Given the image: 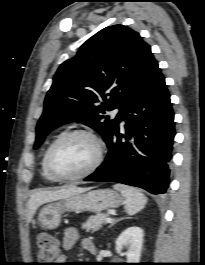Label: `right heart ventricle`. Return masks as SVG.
I'll return each instance as SVG.
<instances>
[{
  "instance_id": "e07e8e85",
  "label": "right heart ventricle",
  "mask_w": 205,
  "mask_h": 265,
  "mask_svg": "<svg viewBox=\"0 0 205 265\" xmlns=\"http://www.w3.org/2000/svg\"><path fill=\"white\" fill-rule=\"evenodd\" d=\"M46 153V151H45ZM45 153L43 155V158H42V162H41V166H42V174L44 176V178L50 182H55L56 180L50 176V174L47 172L46 168H45V164H44V158H45Z\"/></svg>"
}]
</instances>
